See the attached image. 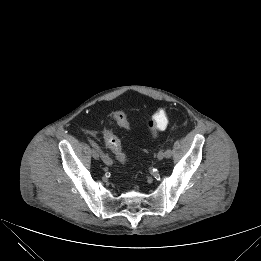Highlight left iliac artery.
Here are the masks:
<instances>
[{"label":"left iliac artery","instance_id":"1","mask_svg":"<svg viewBox=\"0 0 261 261\" xmlns=\"http://www.w3.org/2000/svg\"><path fill=\"white\" fill-rule=\"evenodd\" d=\"M164 152H165V157L169 158L172 156L173 150L171 147H167Z\"/></svg>","mask_w":261,"mask_h":261}]
</instances>
